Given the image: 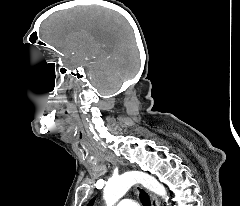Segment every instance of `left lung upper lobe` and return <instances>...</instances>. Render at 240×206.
<instances>
[{
    "label": "left lung upper lobe",
    "instance_id": "obj_1",
    "mask_svg": "<svg viewBox=\"0 0 240 206\" xmlns=\"http://www.w3.org/2000/svg\"><path fill=\"white\" fill-rule=\"evenodd\" d=\"M94 199H92L90 202H89V204L87 205V206H92L93 205V203H94Z\"/></svg>",
    "mask_w": 240,
    "mask_h": 206
}]
</instances>
